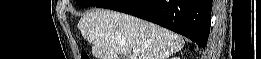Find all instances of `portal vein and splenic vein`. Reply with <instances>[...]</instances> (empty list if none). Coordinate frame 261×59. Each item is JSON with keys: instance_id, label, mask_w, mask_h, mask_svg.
Masks as SVG:
<instances>
[{"instance_id": "obj_1", "label": "portal vein and splenic vein", "mask_w": 261, "mask_h": 59, "mask_svg": "<svg viewBox=\"0 0 261 59\" xmlns=\"http://www.w3.org/2000/svg\"><path fill=\"white\" fill-rule=\"evenodd\" d=\"M139 51L137 49H133V54H138Z\"/></svg>"}]
</instances>
